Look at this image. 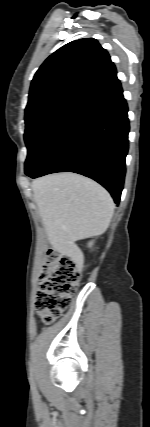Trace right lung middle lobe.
<instances>
[{"mask_svg":"<svg viewBox=\"0 0 150 427\" xmlns=\"http://www.w3.org/2000/svg\"><path fill=\"white\" fill-rule=\"evenodd\" d=\"M80 107L56 104L36 109L25 115V143L28 155L25 173L37 168L47 151Z\"/></svg>","mask_w":150,"mask_h":427,"instance_id":"dd1d6c3e","label":"right lung middle lobe"}]
</instances>
